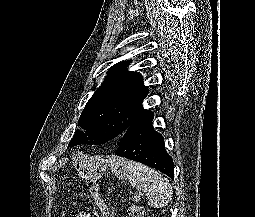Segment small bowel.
<instances>
[{"mask_svg":"<svg viewBox=\"0 0 255 217\" xmlns=\"http://www.w3.org/2000/svg\"><path fill=\"white\" fill-rule=\"evenodd\" d=\"M102 212L104 214V217H111L109 209L106 206L102 208ZM76 217H91V214L87 211H81L76 215Z\"/></svg>","mask_w":255,"mask_h":217,"instance_id":"small-bowel-1","label":"small bowel"}]
</instances>
